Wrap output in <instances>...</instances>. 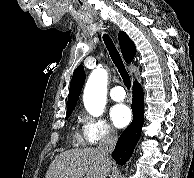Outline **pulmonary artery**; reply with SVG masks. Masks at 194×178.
I'll return each instance as SVG.
<instances>
[{
  "mask_svg": "<svg viewBox=\"0 0 194 178\" xmlns=\"http://www.w3.org/2000/svg\"><path fill=\"white\" fill-rule=\"evenodd\" d=\"M109 95L111 97V99H113L114 101H122L125 99V91L121 86H115L113 87L110 92Z\"/></svg>",
  "mask_w": 194,
  "mask_h": 178,
  "instance_id": "1",
  "label": "pulmonary artery"
}]
</instances>
